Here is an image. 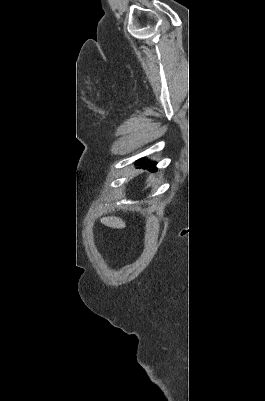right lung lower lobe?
<instances>
[{"instance_id":"right-lung-lower-lobe-1","label":"right lung lower lobe","mask_w":265,"mask_h":401,"mask_svg":"<svg viewBox=\"0 0 265 401\" xmlns=\"http://www.w3.org/2000/svg\"><path fill=\"white\" fill-rule=\"evenodd\" d=\"M143 162L145 163V165H143V167L149 169L150 171H156V167H155V162H149L147 160H143Z\"/></svg>"}]
</instances>
